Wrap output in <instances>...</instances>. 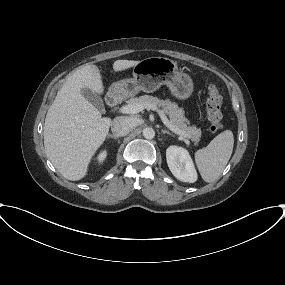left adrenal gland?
Masks as SVG:
<instances>
[{
	"label": "left adrenal gland",
	"instance_id": "a2214340",
	"mask_svg": "<svg viewBox=\"0 0 285 285\" xmlns=\"http://www.w3.org/2000/svg\"><path fill=\"white\" fill-rule=\"evenodd\" d=\"M161 131L163 134H168V135H171L172 137H174V135L171 132H169L168 130L162 129Z\"/></svg>",
	"mask_w": 285,
	"mask_h": 285
}]
</instances>
